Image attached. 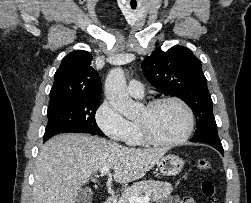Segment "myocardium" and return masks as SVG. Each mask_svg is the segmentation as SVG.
<instances>
[{
	"mask_svg": "<svg viewBox=\"0 0 251 203\" xmlns=\"http://www.w3.org/2000/svg\"><path fill=\"white\" fill-rule=\"evenodd\" d=\"M169 102L177 103L185 110L187 114V118H188V125H187L186 131L179 138H176L173 140H163L154 136L149 126L145 122L138 121L137 125L139 127V130H140V133L144 142L151 145H155V146H176L187 141L192 135L194 131V127H195V115L192 108L183 99L176 96H167V97L158 98L149 102L146 105L145 109L148 112H152L160 105L169 103Z\"/></svg>",
	"mask_w": 251,
	"mask_h": 203,
	"instance_id": "obj_1",
	"label": "myocardium"
}]
</instances>
